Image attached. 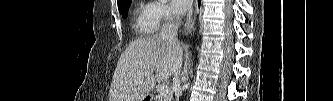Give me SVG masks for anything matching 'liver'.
Segmentation results:
<instances>
[{
	"label": "liver",
	"instance_id": "6515ba94",
	"mask_svg": "<svg viewBox=\"0 0 333 101\" xmlns=\"http://www.w3.org/2000/svg\"><path fill=\"white\" fill-rule=\"evenodd\" d=\"M175 59L176 50L160 35L131 42L118 60L109 101H143L156 82L172 76Z\"/></svg>",
	"mask_w": 333,
	"mask_h": 101
}]
</instances>
